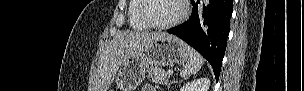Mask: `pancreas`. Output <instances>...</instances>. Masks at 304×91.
Listing matches in <instances>:
<instances>
[{"label": "pancreas", "mask_w": 304, "mask_h": 91, "mask_svg": "<svg viewBox=\"0 0 304 91\" xmlns=\"http://www.w3.org/2000/svg\"><path fill=\"white\" fill-rule=\"evenodd\" d=\"M148 79L152 82L159 83V84H167L169 75L168 73L158 67H150L147 70Z\"/></svg>", "instance_id": "obj_1"}]
</instances>
